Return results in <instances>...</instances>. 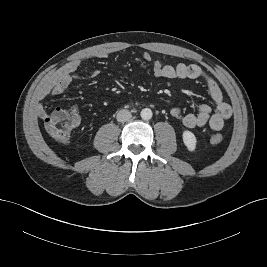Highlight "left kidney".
Instances as JSON below:
<instances>
[{
  "label": "left kidney",
  "mask_w": 267,
  "mask_h": 267,
  "mask_svg": "<svg viewBox=\"0 0 267 267\" xmlns=\"http://www.w3.org/2000/svg\"><path fill=\"white\" fill-rule=\"evenodd\" d=\"M182 137H183V142L187 147V149L193 152L196 149V143H197L195 135L191 131L185 130L183 132Z\"/></svg>",
  "instance_id": "left-kidney-1"
}]
</instances>
